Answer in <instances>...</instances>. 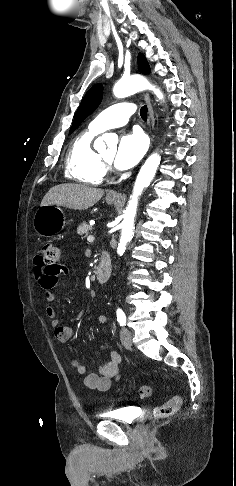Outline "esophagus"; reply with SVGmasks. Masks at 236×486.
<instances>
[{
  "label": "esophagus",
  "instance_id": "1",
  "mask_svg": "<svg viewBox=\"0 0 236 486\" xmlns=\"http://www.w3.org/2000/svg\"><path fill=\"white\" fill-rule=\"evenodd\" d=\"M144 97H145L146 103L148 105V115H149L148 116V123L151 125L154 121V111H153V107H152V103H151V100L149 98V95L145 94ZM151 140H152V136H151ZM108 196L115 198V197H119L120 193L116 192V191H110L108 193Z\"/></svg>",
  "mask_w": 236,
  "mask_h": 486
}]
</instances>
